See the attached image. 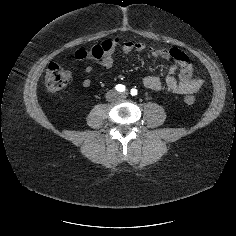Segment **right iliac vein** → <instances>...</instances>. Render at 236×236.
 I'll use <instances>...</instances> for the list:
<instances>
[{
	"label": "right iliac vein",
	"instance_id": "right-iliac-vein-1",
	"mask_svg": "<svg viewBox=\"0 0 236 236\" xmlns=\"http://www.w3.org/2000/svg\"><path fill=\"white\" fill-rule=\"evenodd\" d=\"M107 98L110 99V100H114V99H116V94L114 92H110L107 95Z\"/></svg>",
	"mask_w": 236,
	"mask_h": 236
}]
</instances>
